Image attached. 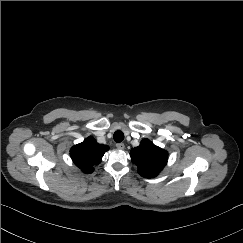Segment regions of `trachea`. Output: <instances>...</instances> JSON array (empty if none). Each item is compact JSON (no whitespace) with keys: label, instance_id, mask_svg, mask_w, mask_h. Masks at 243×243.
I'll return each instance as SVG.
<instances>
[{"label":"trachea","instance_id":"3493384b","mask_svg":"<svg viewBox=\"0 0 243 243\" xmlns=\"http://www.w3.org/2000/svg\"><path fill=\"white\" fill-rule=\"evenodd\" d=\"M114 141L120 143L124 140V134L122 131H116L113 135Z\"/></svg>","mask_w":243,"mask_h":243}]
</instances>
